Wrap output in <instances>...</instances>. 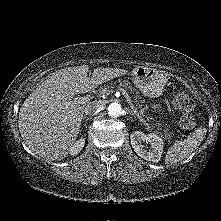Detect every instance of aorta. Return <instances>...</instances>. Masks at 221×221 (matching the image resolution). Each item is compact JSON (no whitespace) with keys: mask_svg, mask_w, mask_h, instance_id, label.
<instances>
[{"mask_svg":"<svg viewBox=\"0 0 221 221\" xmlns=\"http://www.w3.org/2000/svg\"><path fill=\"white\" fill-rule=\"evenodd\" d=\"M107 110H108L109 116L114 117V118L119 117L122 114L121 105L116 102L111 103L108 106Z\"/></svg>","mask_w":221,"mask_h":221,"instance_id":"aorta-1","label":"aorta"}]
</instances>
